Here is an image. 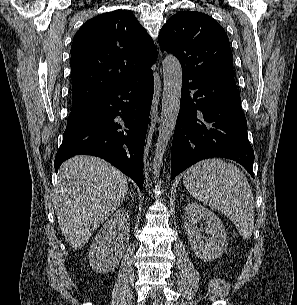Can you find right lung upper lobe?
I'll list each match as a JSON object with an SVG mask.
<instances>
[{"label": "right lung upper lobe", "mask_w": 297, "mask_h": 305, "mask_svg": "<svg viewBox=\"0 0 297 305\" xmlns=\"http://www.w3.org/2000/svg\"><path fill=\"white\" fill-rule=\"evenodd\" d=\"M156 60L152 38L131 12L116 10L88 20L71 47L72 104L147 74Z\"/></svg>", "instance_id": "obj_1"}]
</instances>
